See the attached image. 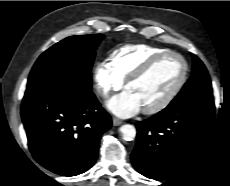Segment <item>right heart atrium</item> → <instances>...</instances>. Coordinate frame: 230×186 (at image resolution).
I'll list each match as a JSON object with an SVG mask.
<instances>
[{
    "mask_svg": "<svg viewBox=\"0 0 230 186\" xmlns=\"http://www.w3.org/2000/svg\"><path fill=\"white\" fill-rule=\"evenodd\" d=\"M93 78L98 94L108 98L123 87V81L116 75L109 62L99 61L93 71Z\"/></svg>",
    "mask_w": 230,
    "mask_h": 186,
    "instance_id": "1",
    "label": "right heart atrium"
}]
</instances>
